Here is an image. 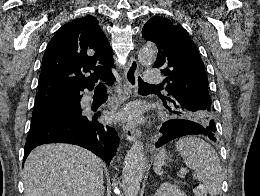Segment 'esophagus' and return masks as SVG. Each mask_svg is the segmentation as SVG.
<instances>
[{
    "label": "esophagus",
    "instance_id": "1",
    "mask_svg": "<svg viewBox=\"0 0 260 196\" xmlns=\"http://www.w3.org/2000/svg\"><path fill=\"white\" fill-rule=\"evenodd\" d=\"M139 66L135 58H130L125 68V80L129 88L134 89L138 85ZM123 133L128 141H135L139 137V130L132 124H123Z\"/></svg>",
    "mask_w": 260,
    "mask_h": 196
}]
</instances>
